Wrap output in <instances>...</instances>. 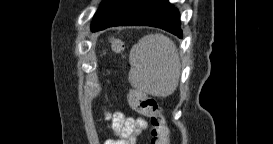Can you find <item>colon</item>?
Instances as JSON below:
<instances>
[{
	"label": "colon",
	"mask_w": 273,
	"mask_h": 144,
	"mask_svg": "<svg viewBox=\"0 0 273 144\" xmlns=\"http://www.w3.org/2000/svg\"><path fill=\"white\" fill-rule=\"evenodd\" d=\"M119 48L120 45L115 43ZM131 107L149 118L151 124V144H169V129L159 103L149 95L138 90H132L129 95Z\"/></svg>",
	"instance_id": "colon-1"
}]
</instances>
